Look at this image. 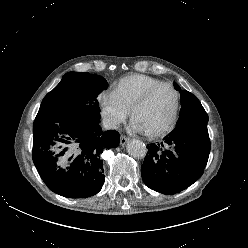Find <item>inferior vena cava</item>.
Here are the masks:
<instances>
[{
	"label": "inferior vena cava",
	"instance_id": "inferior-vena-cava-1",
	"mask_svg": "<svg viewBox=\"0 0 248 248\" xmlns=\"http://www.w3.org/2000/svg\"><path fill=\"white\" fill-rule=\"evenodd\" d=\"M102 125H103V128H105L107 130H115L118 128L117 122L112 120V119H109V118L103 119Z\"/></svg>",
	"mask_w": 248,
	"mask_h": 248
}]
</instances>
